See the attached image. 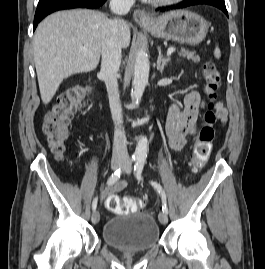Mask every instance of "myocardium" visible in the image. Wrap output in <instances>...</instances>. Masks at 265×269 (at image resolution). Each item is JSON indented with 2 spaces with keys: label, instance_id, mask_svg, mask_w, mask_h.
I'll list each match as a JSON object with an SVG mask.
<instances>
[{
  "label": "myocardium",
  "instance_id": "1",
  "mask_svg": "<svg viewBox=\"0 0 265 269\" xmlns=\"http://www.w3.org/2000/svg\"><path fill=\"white\" fill-rule=\"evenodd\" d=\"M150 1L156 5H168L180 2L182 0H150Z\"/></svg>",
  "mask_w": 265,
  "mask_h": 269
}]
</instances>
